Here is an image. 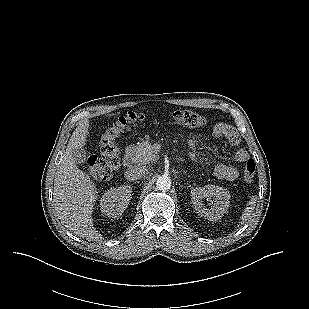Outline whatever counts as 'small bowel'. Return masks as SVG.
<instances>
[{"instance_id": "c3829d8e", "label": "small bowel", "mask_w": 309, "mask_h": 309, "mask_svg": "<svg viewBox=\"0 0 309 309\" xmlns=\"http://www.w3.org/2000/svg\"><path fill=\"white\" fill-rule=\"evenodd\" d=\"M213 135L217 139H226L233 145L239 142L234 128L225 123H217L214 126ZM248 159V152L244 149H238L232 157L234 165L219 163L215 166L213 175L218 179L235 180L239 174L237 166L244 164Z\"/></svg>"}]
</instances>
